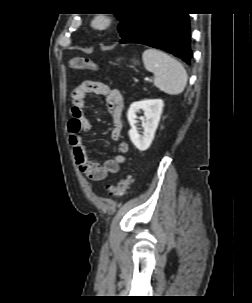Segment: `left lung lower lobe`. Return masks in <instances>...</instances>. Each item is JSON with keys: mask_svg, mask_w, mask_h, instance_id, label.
Returning <instances> with one entry per match:
<instances>
[{"mask_svg": "<svg viewBox=\"0 0 252 303\" xmlns=\"http://www.w3.org/2000/svg\"><path fill=\"white\" fill-rule=\"evenodd\" d=\"M190 27L187 13L144 12L120 43H139L164 50L190 64Z\"/></svg>", "mask_w": 252, "mask_h": 303, "instance_id": "left-lung-lower-lobe-1", "label": "left lung lower lobe"}]
</instances>
